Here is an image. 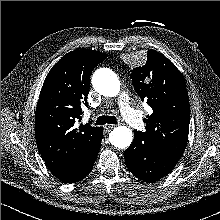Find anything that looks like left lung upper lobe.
<instances>
[{
    "instance_id": "left-lung-upper-lobe-1",
    "label": "left lung upper lobe",
    "mask_w": 220,
    "mask_h": 220,
    "mask_svg": "<svg viewBox=\"0 0 220 220\" xmlns=\"http://www.w3.org/2000/svg\"><path fill=\"white\" fill-rule=\"evenodd\" d=\"M135 92L152 108L144 120L147 142L180 157L187 145L190 106L185 80L163 54L148 50L147 62L130 74Z\"/></svg>"
}]
</instances>
